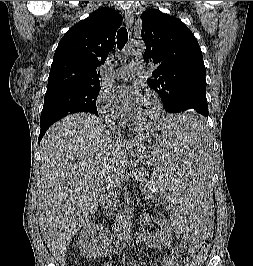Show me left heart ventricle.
I'll return each mask as SVG.
<instances>
[{
  "instance_id": "obj_1",
  "label": "left heart ventricle",
  "mask_w": 253,
  "mask_h": 266,
  "mask_svg": "<svg viewBox=\"0 0 253 266\" xmlns=\"http://www.w3.org/2000/svg\"><path fill=\"white\" fill-rule=\"evenodd\" d=\"M155 112V104L153 100L147 96H144L133 118L139 122H145L149 120Z\"/></svg>"
}]
</instances>
